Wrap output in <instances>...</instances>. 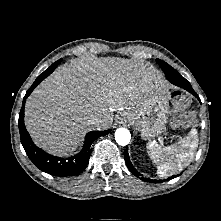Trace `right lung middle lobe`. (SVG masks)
<instances>
[{
	"instance_id": "obj_1",
	"label": "right lung middle lobe",
	"mask_w": 221,
	"mask_h": 221,
	"mask_svg": "<svg viewBox=\"0 0 221 221\" xmlns=\"http://www.w3.org/2000/svg\"><path fill=\"white\" fill-rule=\"evenodd\" d=\"M60 61H61V59H59L58 61L53 63L48 69H53V68L57 67V65L60 63Z\"/></svg>"
}]
</instances>
